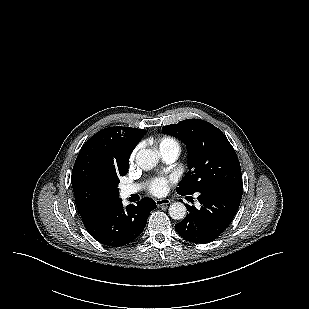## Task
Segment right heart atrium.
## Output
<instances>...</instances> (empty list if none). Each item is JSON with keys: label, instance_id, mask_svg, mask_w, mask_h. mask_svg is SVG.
<instances>
[{"label": "right heart atrium", "instance_id": "1", "mask_svg": "<svg viewBox=\"0 0 309 309\" xmlns=\"http://www.w3.org/2000/svg\"><path fill=\"white\" fill-rule=\"evenodd\" d=\"M136 156V150H134L130 155V161L133 162Z\"/></svg>", "mask_w": 309, "mask_h": 309}]
</instances>
